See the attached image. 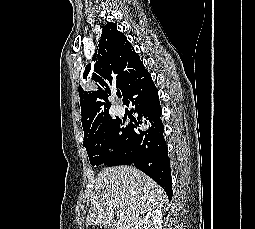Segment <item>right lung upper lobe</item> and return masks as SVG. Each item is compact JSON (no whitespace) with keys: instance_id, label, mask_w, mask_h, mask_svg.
<instances>
[{"instance_id":"obj_1","label":"right lung upper lobe","mask_w":255,"mask_h":229,"mask_svg":"<svg viewBox=\"0 0 255 229\" xmlns=\"http://www.w3.org/2000/svg\"><path fill=\"white\" fill-rule=\"evenodd\" d=\"M92 60V67H86L83 78L94 80L97 87L89 91L81 86L78 88L84 141L111 118L108 97L113 89L120 90L125 101L134 74L144 67L131 43L122 32L117 31L116 24L112 22L104 26Z\"/></svg>"}]
</instances>
